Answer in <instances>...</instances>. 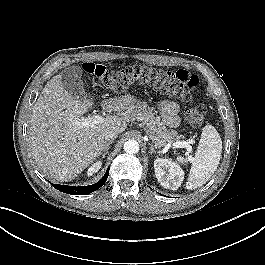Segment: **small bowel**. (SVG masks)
I'll use <instances>...</instances> for the list:
<instances>
[{
  "label": "small bowel",
  "mask_w": 265,
  "mask_h": 265,
  "mask_svg": "<svg viewBox=\"0 0 265 265\" xmlns=\"http://www.w3.org/2000/svg\"><path fill=\"white\" fill-rule=\"evenodd\" d=\"M163 122L170 128L177 127L180 122L179 105L174 101L164 100L160 103Z\"/></svg>",
  "instance_id": "1"
}]
</instances>
